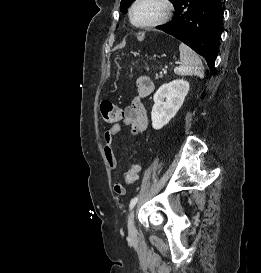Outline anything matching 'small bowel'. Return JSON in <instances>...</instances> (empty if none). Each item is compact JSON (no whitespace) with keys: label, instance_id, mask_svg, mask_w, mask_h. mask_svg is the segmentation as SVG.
<instances>
[{"label":"small bowel","instance_id":"obj_1","mask_svg":"<svg viewBox=\"0 0 261 273\" xmlns=\"http://www.w3.org/2000/svg\"><path fill=\"white\" fill-rule=\"evenodd\" d=\"M137 95L134 97L130 106H127L122 111V121L112 125L105 132V146L104 153L108 163V166L111 170H116L117 168V159L114 153L112 141L115 135H117L122 126L126 125L131 128L132 136L140 142L141 137L147 130L148 126V117L145 105L143 100L151 95L155 89L153 81L147 76H140L137 81ZM114 192L118 195H123L118 192L116 189V183L114 184Z\"/></svg>","mask_w":261,"mask_h":273}]
</instances>
